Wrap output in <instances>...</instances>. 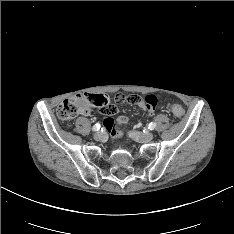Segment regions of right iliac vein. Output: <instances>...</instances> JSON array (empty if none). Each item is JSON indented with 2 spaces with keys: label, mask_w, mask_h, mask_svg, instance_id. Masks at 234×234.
I'll use <instances>...</instances> for the list:
<instances>
[{
  "label": "right iliac vein",
  "mask_w": 234,
  "mask_h": 234,
  "mask_svg": "<svg viewBox=\"0 0 234 234\" xmlns=\"http://www.w3.org/2000/svg\"><path fill=\"white\" fill-rule=\"evenodd\" d=\"M106 137V134L104 132H97L94 134V139L97 140V141H102L104 140Z\"/></svg>",
  "instance_id": "63e3f726"
}]
</instances>
